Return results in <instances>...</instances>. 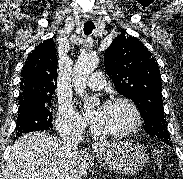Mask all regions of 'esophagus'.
Masks as SVG:
<instances>
[{"mask_svg":"<svg viewBox=\"0 0 183 179\" xmlns=\"http://www.w3.org/2000/svg\"><path fill=\"white\" fill-rule=\"evenodd\" d=\"M98 147H99V145H97V144L94 145V149H95V150H96Z\"/></svg>","mask_w":183,"mask_h":179,"instance_id":"1","label":"esophagus"}]
</instances>
